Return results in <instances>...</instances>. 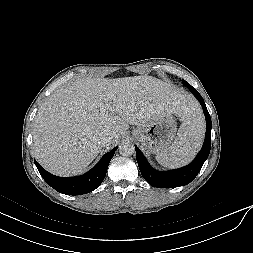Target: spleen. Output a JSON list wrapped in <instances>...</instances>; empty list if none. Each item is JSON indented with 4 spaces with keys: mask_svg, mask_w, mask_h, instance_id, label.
Listing matches in <instances>:
<instances>
[{
    "mask_svg": "<svg viewBox=\"0 0 253 253\" xmlns=\"http://www.w3.org/2000/svg\"><path fill=\"white\" fill-rule=\"evenodd\" d=\"M205 132V122L200 110L190 103L172 145L156 154L157 162L168 168L188 164L200 149Z\"/></svg>",
    "mask_w": 253,
    "mask_h": 253,
    "instance_id": "obj_1",
    "label": "spleen"
}]
</instances>
